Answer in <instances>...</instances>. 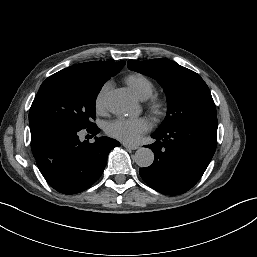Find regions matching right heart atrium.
<instances>
[{"label": "right heart atrium", "instance_id": "obj_1", "mask_svg": "<svg viewBox=\"0 0 257 257\" xmlns=\"http://www.w3.org/2000/svg\"><path fill=\"white\" fill-rule=\"evenodd\" d=\"M109 87H110L109 82L104 84L96 96L95 108L98 112H102L105 109L106 95H107Z\"/></svg>", "mask_w": 257, "mask_h": 257}]
</instances>
